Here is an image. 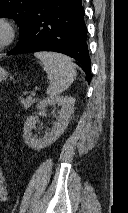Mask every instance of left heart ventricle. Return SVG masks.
Returning <instances> with one entry per match:
<instances>
[{
	"label": "left heart ventricle",
	"mask_w": 128,
	"mask_h": 213,
	"mask_svg": "<svg viewBox=\"0 0 128 213\" xmlns=\"http://www.w3.org/2000/svg\"><path fill=\"white\" fill-rule=\"evenodd\" d=\"M5 35H6L5 29L2 26H0V43H2V41L4 40Z\"/></svg>",
	"instance_id": "left-heart-ventricle-1"
}]
</instances>
